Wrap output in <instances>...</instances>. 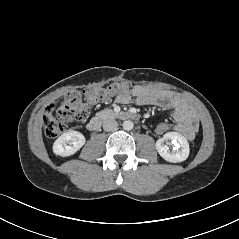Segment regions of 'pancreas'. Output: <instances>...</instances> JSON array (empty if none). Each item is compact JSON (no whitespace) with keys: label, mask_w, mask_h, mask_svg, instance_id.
Instances as JSON below:
<instances>
[{"label":"pancreas","mask_w":239,"mask_h":239,"mask_svg":"<svg viewBox=\"0 0 239 239\" xmlns=\"http://www.w3.org/2000/svg\"><path fill=\"white\" fill-rule=\"evenodd\" d=\"M113 114H114L113 110L105 109V110H102L101 112L97 113V116L103 117V116L113 115Z\"/></svg>","instance_id":"pancreas-1"}]
</instances>
